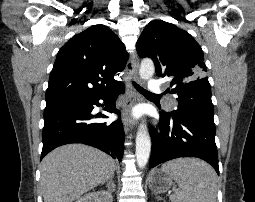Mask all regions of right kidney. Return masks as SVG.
<instances>
[{"label":"right kidney","instance_id":"ca27d5eb","mask_svg":"<svg viewBox=\"0 0 255 202\" xmlns=\"http://www.w3.org/2000/svg\"><path fill=\"white\" fill-rule=\"evenodd\" d=\"M112 195L106 191L91 192L77 199L76 202H112Z\"/></svg>","mask_w":255,"mask_h":202}]
</instances>
